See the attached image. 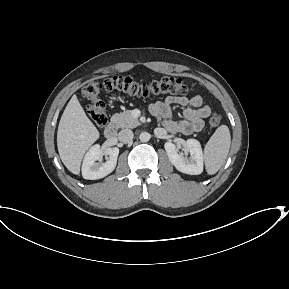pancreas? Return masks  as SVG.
I'll use <instances>...</instances> for the list:
<instances>
[{
    "mask_svg": "<svg viewBox=\"0 0 289 289\" xmlns=\"http://www.w3.org/2000/svg\"><path fill=\"white\" fill-rule=\"evenodd\" d=\"M111 121L118 128H135L140 125V122L137 118L132 116L130 110L114 114L111 118Z\"/></svg>",
    "mask_w": 289,
    "mask_h": 289,
    "instance_id": "obj_1",
    "label": "pancreas"
}]
</instances>
